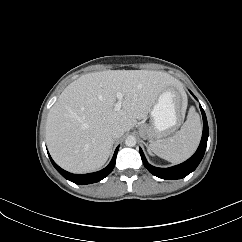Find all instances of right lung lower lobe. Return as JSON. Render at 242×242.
<instances>
[{
	"mask_svg": "<svg viewBox=\"0 0 242 242\" xmlns=\"http://www.w3.org/2000/svg\"><path fill=\"white\" fill-rule=\"evenodd\" d=\"M118 149H119V146L116 148L113 158L106 168H104L98 172L89 173V174H79V175L72 174V173H69V172L63 170L52 160L49 153H48V155H49V158H50L53 166L64 178H66L69 181H72L73 183L84 185V184H91V183L99 182L100 180L104 179L113 170L115 163H116V156H117Z\"/></svg>",
	"mask_w": 242,
	"mask_h": 242,
	"instance_id": "obj_1",
	"label": "right lung lower lobe"
}]
</instances>
